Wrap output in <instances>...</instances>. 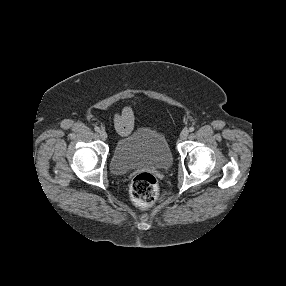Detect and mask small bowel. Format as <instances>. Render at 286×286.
Returning a JSON list of instances; mask_svg holds the SVG:
<instances>
[{
    "instance_id": "c3829d8e",
    "label": "small bowel",
    "mask_w": 286,
    "mask_h": 286,
    "mask_svg": "<svg viewBox=\"0 0 286 286\" xmlns=\"http://www.w3.org/2000/svg\"><path fill=\"white\" fill-rule=\"evenodd\" d=\"M135 123V110L131 107H125L114 117V124L119 134L127 135L131 132Z\"/></svg>"
}]
</instances>
